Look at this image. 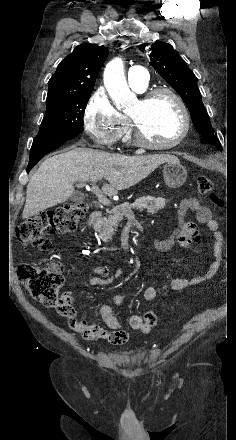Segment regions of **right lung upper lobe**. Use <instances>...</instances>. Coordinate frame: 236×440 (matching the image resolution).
<instances>
[{
	"label": "right lung upper lobe",
	"instance_id": "right-lung-upper-lobe-1",
	"mask_svg": "<svg viewBox=\"0 0 236 440\" xmlns=\"http://www.w3.org/2000/svg\"><path fill=\"white\" fill-rule=\"evenodd\" d=\"M108 53L104 46L78 45L50 78L46 103L91 93Z\"/></svg>",
	"mask_w": 236,
	"mask_h": 440
}]
</instances>
